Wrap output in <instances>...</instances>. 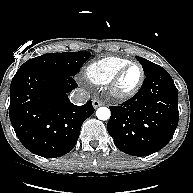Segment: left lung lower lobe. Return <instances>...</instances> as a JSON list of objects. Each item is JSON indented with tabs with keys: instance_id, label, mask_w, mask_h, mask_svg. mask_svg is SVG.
<instances>
[{
	"instance_id": "left-lung-lower-lobe-1",
	"label": "left lung lower lobe",
	"mask_w": 193,
	"mask_h": 193,
	"mask_svg": "<svg viewBox=\"0 0 193 193\" xmlns=\"http://www.w3.org/2000/svg\"><path fill=\"white\" fill-rule=\"evenodd\" d=\"M110 110L107 129L117 148L148 156L173 137L179 119L178 90L169 73L158 66L132 98Z\"/></svg>"
}]
</instances>
